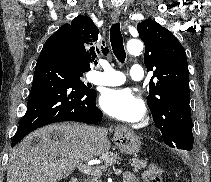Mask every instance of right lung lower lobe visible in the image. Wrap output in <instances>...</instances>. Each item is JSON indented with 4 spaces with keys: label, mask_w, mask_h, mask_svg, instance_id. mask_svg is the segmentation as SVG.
<instances>
[{
    "label": "right lung lower lobe",
    "mask_w": 211,
    "mask_h": 182,
    "mask_svg": "<svg viewBox=\"0 0 211 182\" xmlns=\"http://www.w3.org/2000/svg\"><path fill=\"white\" fill-rule=\"evenodd\" d=\"M75 48L62 32L54 33L38 57L27 111L11 146L44 125L60 121L94 124L103 113L96 107V91L81 81Z\"/></svg>",
    "instance_id": "98d812e1"
}]
</instances>
